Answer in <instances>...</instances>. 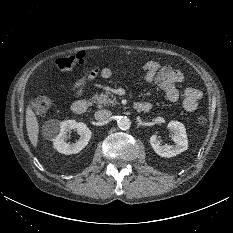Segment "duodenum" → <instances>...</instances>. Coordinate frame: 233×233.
Instances as JSON below:
<instances>
[{"instance_id":"1","label":"duodenum","mask_w":233,"mask_h":233,"mask_svg":"<svg viewBox=\"0 0 233 233\" xmlns=\"http://www.w3.org/2000/svg\"><path fill=\"white\" fill-rule=\"evenodd\" d=\"M133 110L140 113L149 112L152 109V106L148 102H135L132 105ZM72 112L76 115H83L88 109L87 100H76L71 106Z\"/></svg>"}]
</instances>
